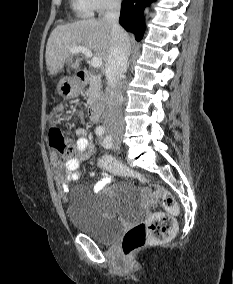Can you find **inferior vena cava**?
Returning a JSON list of instances; mask_svg holds the SVG:
<instances>
[{
    "mask_svg": "<svg viewBox=\"0 0 233 284\" xmlns=\"http://www.w3.org/2000/svg\"><path fill=\"white\" fill-rule=\"evenodd\" d=\"M120 0H109L104 19L112 27V48L106 63V78L108 88L106 92V111L104 127L113 134L121 133L124 129L122 115L123 95L121 80L127 71L130 55V41L126 31L119 25Z\"/></svg>",
    "mask_w": 233,
    "mask_h": 284,
    "instance_id": "1",
    "label": "inferior vena cava"
}]
</instances>
